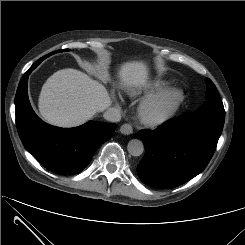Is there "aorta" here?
<instances>
[{"label":"aorta","mask_w":245,"mask_h":245,"mask_svg":"<svg viewBox=\"0 0 245 245\" xmlns=\"http://www.w3.org/2000/svg\"><path fill=\"white\" fill-rule=\"evenodd\" d=\"M127 150L132 156H140L144 151V144L138 139H132L128 142Z\"/></svg>","instance_id":"aorta-1"}]
</instances>
